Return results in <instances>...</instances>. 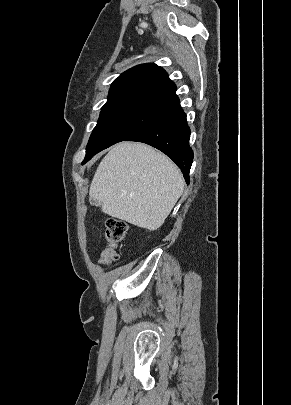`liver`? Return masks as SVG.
<instances>
[{
    "instance_id": "obj_1",
    "label": "liver",
    "mask_w": 291,
    "mask_h": 405,
    "mask_svg": "<svg viewBox=\"0 0 291 405\" xmlns=\"http://www.w3.org/2000/svg\"><path fill=\"white\" fill-rule=\"evenodd\" d=\"M183 190V176L168 157L146 144L121 142L100 162L89 196L103 213L154 231Z\"/></svg>"
}]
</instances>
